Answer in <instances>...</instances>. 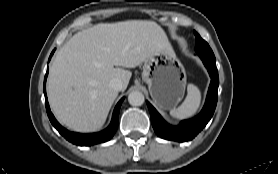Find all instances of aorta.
Wrapping results in <instances>:
<instances>
[{
	"instance_id": "aorta-1",
	"label": "aorta",
	"mask_w": 278,
	"mask_h": 174,
	"mask_svg": "<svg viewBox=\"0 0 278 174\" xmlns=\"http://www.w3.org/2000/svg\"><path fill=\"white\" fill-rule=\"evenodd\" d=\"M144 95L140 91H132L128 95V102L132 106H141L144 103Z\"/></svg>"
}]
</instances>
